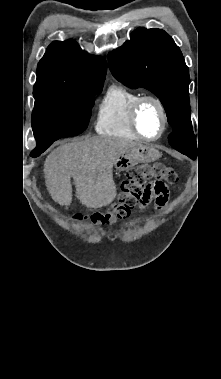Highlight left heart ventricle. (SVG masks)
<instances>
[{"label": "left heart ventricle", "mask_w": 221, "mask_h": 379, "mask_svg": "<svg viewBox=\"0 0 221 379\" xmlns=\"http://www.w3.org/2000/svg\"><path fill=\"white\" fill-rule=\"evenodd\" d=\"M138 123L141 131L148 137L156 136L162 126V118L157 105L146 102L139 112Z\"/></svg>", "instance_id": "b2bd125f"}]
</instances>
